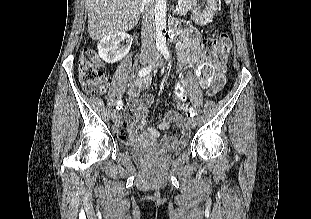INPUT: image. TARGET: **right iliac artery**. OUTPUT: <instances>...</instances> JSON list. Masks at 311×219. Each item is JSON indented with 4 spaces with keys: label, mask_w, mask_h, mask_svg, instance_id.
<instances>
[{
    "label": "right iliac artery",
    "mask_w": 311,
    "mask_h": 219,
    "mask_svg": "<svg viewBox=\"0 0 311 219\" xmlns=\"http://www.w3.org/2000/svg\"><path fill=\"white\" fill-rule=\"evenodd\" d=\"M159 57V56H158ZM152 70V65H148L144 68L141 69V71L139 72V76H146L147 74H149ZM123 106V101L119 100L117 103V109L120 110Z\"/></svg>",
    "instance_id": "right-iliac-artery-1"
}]
</instances>
